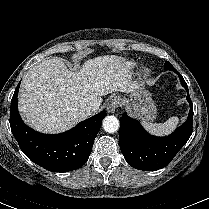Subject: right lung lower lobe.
Instances as JSON below:
<instances>
[{
    "label": "right lung lower lobe",
    "instance_id": "right-lung-lower-lobe-1",
    "mask_svg": "<svg viewBox=\"0 0 209 209\" xmlns=\"http://www.w3.org/2000/svg\"><path fill=\"white\" fill-rule=\"evenodd\" d=\"M19 85L20 82L11 100L10 127L23 153L51 172L72 171L83 166L91 154L106 112L102 111L62 134H42L26 126L19 115Z\"/></svg>",
    "mask_w": 209,
    "mask_h": 209
}]
</instances>
